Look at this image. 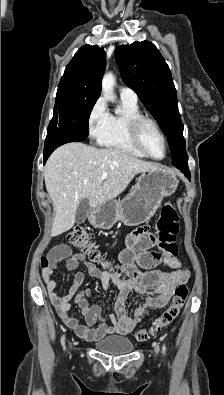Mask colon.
I'll return each instance as SVG.
<instances>
[{
    "instance_id": "obj_1",
    "label": "colon",
    "mask_w": 224,
    "mask_h": 395,
    "mask_svg": "<svg viewBox=\"0 0 224 395\" xmlns=\"http://www.w3.org/2000/svg\"><path fill=\"white\" fill-rule=\"evenodd\" d=\"M157 230L159 249L167 258L166 263L169 266L171 257L177 254L175 239L179 231L178 215L175 207L171 203H166L162 206L160 217L157 222ZM67 241L72 246L80 249L91 263L101 264L109 268L111 274L116 276L119 275V270L114 268L110 262L102 257L95 244L92 242L90 234L84 228L75 227L71 229L67 233ZM48 264V260L43 258L41 265L46 267ZM188 293V286L185 283L179 284L175 289L169 307L160 314L150 326L138 329L135 333L136 340L139 342L146 341L151 335L169 326L177 318L187 299Z\"/></svg>"
}]
</instances>
